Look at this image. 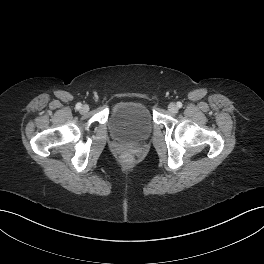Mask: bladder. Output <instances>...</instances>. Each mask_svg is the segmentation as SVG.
I'll use <instances>...</instances> for the list:
<instances>
[{
	"label": "bladder",
	"mask_w": 264,
	"mask_h": 264,
	"mask_svg": "<svg viewBox=\"0 0 264 264\" xmlns=\"http://www.w3.org/2000/svg\"><path fill=\"white\" fill-rule=\"evenodd\" d=\"M111 135L124 144H139L153 131L148 108L139 102L122 101L113 106L108 120Z\"/></svg>",
	"instance_id": "1"
}]
</instances>
